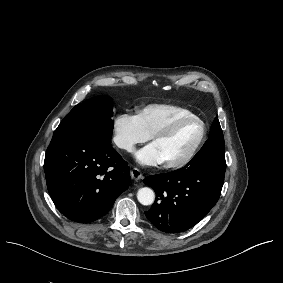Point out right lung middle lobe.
Here are the masks:
<instances>
[{
  "label": "right lung middle lobe",
  "mask_w": 283,
  "mask_h": 283,
  "mask_svg": "<svg viewBox=\"0 0 283 283\" xmlns=\"http://www.w3.org/2000/svg\"><path fill=\"white\" fill-rule=\"evenodd\" d=\"M112 100L108 96L93 97L76 105L61 121L53 134L60 136H80L111 142L114 121Z\"/></svg>",
  "instance_id": "obj_1"
}]
</instances>
